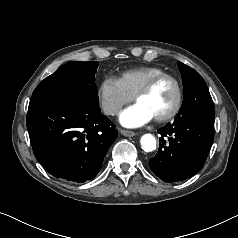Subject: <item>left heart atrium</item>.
<instances>
[{
	"instance_id": "left-heart-atrium-1",
	"label": "left heart atrium",
	"mask_w": 238,
	"mask_h": 238,
	"mask_svg": "<svg viewBox=\"0 0 238 238\" xmlns=\"http://www.w3.org/2000/svg\"><path fill=\"white\" fill-rule=\"evenodd\" d=\"M153 118V114L148 109L135 103L120 113L119 121L125 127L136 128L147 124Z\"/></svg>"
}]
</instances>
